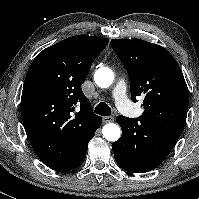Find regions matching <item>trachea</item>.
Returning <instances> with one entry per match:
<instances>
[{
    "instance_id": "obj_1",
    "label": "trachea",
    "mask_w": 199,
    "mask_h": 199,
    "mask_svg": "<svg viewBox=\"0 0 199 199\" xmlns=\"http://www.w3.org/2000/svg\"><path fill=\"white\" fill-rule=\"evenodd\" d=\"M95 113L101 116H110L111 108L105 102H101L95 107Z\"/></svg>"
}]
</instances>
